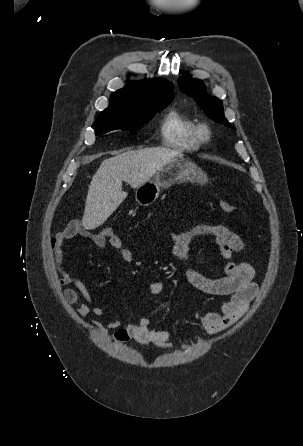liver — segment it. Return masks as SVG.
Segmentation results:
<instances>
[{"instance_id": "6515ba94", "label": "liver", "mask_w": 303, "mask_h": 446, "mask_svg": "<svg viewBox=\"0 0 303 446\" xmlns=\"http://www.w3.org/2000/svg\"><path fill=\"white\" fill-rule=\"evenodd\" d=\"M181 152L167 148L127 151L105 159L89 185L82 224L85 229L102 225L127 197L122 181L133 188L149 181Z\"/></svg>"}]
</instances>
